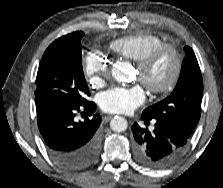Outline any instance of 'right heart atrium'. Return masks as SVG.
<instances>
[{
  "label": "right heart atrium",
  "mask_w": 223,
  "mask_h": 188,
  "mask_svg": "<svg viewBox=\"0 0 223 188\" xmlns=\"http://www.w3.org/2000/svg\"><path fill=\"white\" fill-rule=\"evenodd\" d=\"M108 61L98 53L90 52L83 60V72L92 86H99L108 74Z\"/></svg>",
  "instance_id": "d8ad5b80"
}]
</instances>
